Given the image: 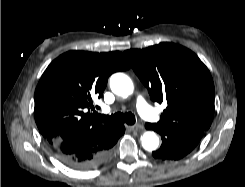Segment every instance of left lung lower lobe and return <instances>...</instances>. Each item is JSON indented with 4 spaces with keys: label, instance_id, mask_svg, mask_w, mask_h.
<instances>
[{
    "label": "left lung lower lobe",
    "instance_id": "1",
    "mask_svg": "<svg viewBox=\"0 0 245 187\" xmlns=\"http://www.w3.org/2000/svg\"><path fill=\"white\" fill-rule=\"evenodd\" d=\"M145 128L161 135L160 149L152 152L156 159L179 160L189 154L201 140L204 131L199 129H170L159 123H146Z\"/></svg>",
    "mask_w": 245,
    "mask_h": 187
}]
</instances>
